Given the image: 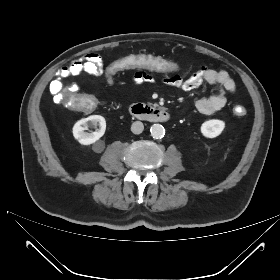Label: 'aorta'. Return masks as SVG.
Instances as JSON below:
<instances>
[{
    "label": "aorta",
    "instance_id": "aorta-1",
    "mask_svg": "<svg viewBox=\"0 0 280 280\" xmlns=\"http://www.w3.org/2000/svg\"><path fill=\"white\" fill-rule=\"evenodd\" d=\"M150 132L153 138L161 139L165 135V129L160 124H153L150 128Z\"/></svg>",
    "mask_w": 280,
    "mask_h": 280
}]
</instances>
